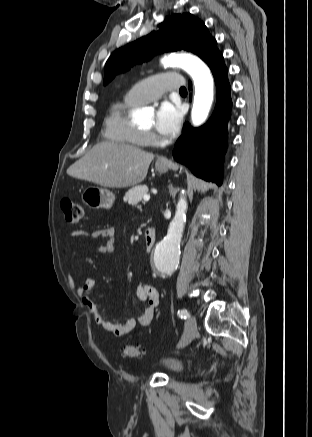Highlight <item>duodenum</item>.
<instances>
[{
  "mask_svg": "<svg viewBox=\"0 0 312 437\" xmlns=\"http://www.w3.org/2000/svg\"><path fill=\"white\" fill-rule=\"evenodd\" d=\"M155 241H156V231H155L154 227L148 226L145 230L144 249L146 252H149L152 249Z\"/></svg>",
  "mask_w": 312,
  "mask_h": 437,
  "instance_id": "1",
  "label": "duodenum"
}]
</instances>
